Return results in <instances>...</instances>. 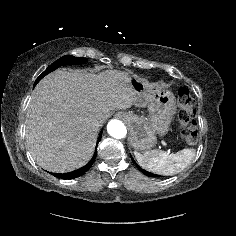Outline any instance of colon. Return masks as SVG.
Returning <instances> with one entry per match:
<instances>
[{
  "instance_id": "5ec220e1",
  "label": "colon",
  "mask_w": 236,
  "mask_h": 236,
  "mask_svg": "<svg viewBox=\"0 0 236 236\" xmlns=\"http://www.w3.org/2000/svg\"><path fill=\"white\" fill-rule=\"evenodd\" d=\"M177 94L180 106V135L188 145L194 146L199 141V132L195 125L194 100L185 87L180 88Z\"/></svg>"
}]
</instances>
